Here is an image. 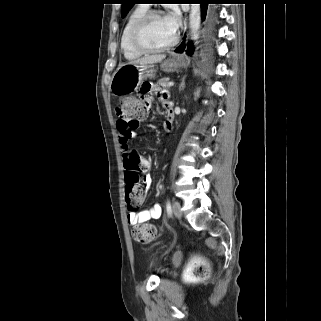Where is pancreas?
Returning <instances> with one entry per match:
<instances>
[{
	"mask_svg": "<svg viewBox=\"0 0 321 321\" xmlns=\"http://www.w3.org/2000/svg\"><path fill=\"white\" fill-rule=\"evenodd\" d=\"M169 78H161L157 82V86L162 88H168Z\"/></svg>",
	"mask_w": 321,
	"mask_h": 321,
	"instance_id": "obj_1",
	"label": "pancreas"
}]
</instances>
